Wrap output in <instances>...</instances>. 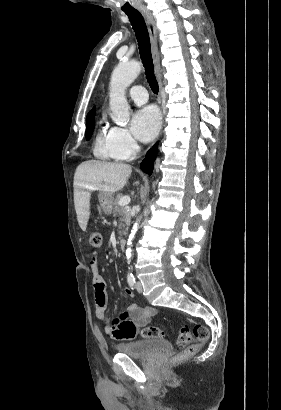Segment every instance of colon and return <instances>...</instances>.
Returning a JSON list of instances; mask_svg holds the SVG:
<instances>
[{
  "label": "colon",
  "instance_id": "5ec220e1",
  "mask_svg": "<svg viewBox=\"0 0 281 410\" xmlns=\"http://www.w3.org/2000/svg\"><path fill=\"white\" fill-rule=\"evenodd\" d=\"M90 245L94 248H99L102 245V235L98 231H92L89 234ZM142 336L146 338H164V331L156 326H148L142 330ZM194 337V340H193ZM209 337L208 329L200 324H197L191 330L189 326L183 325L177 335V344L183 350L173 357L174 362H181L194 356L200 346L204 344Z\"/></svg>",
  "mask_w": 281,
  "mask_h": 410
}]
</instances>
